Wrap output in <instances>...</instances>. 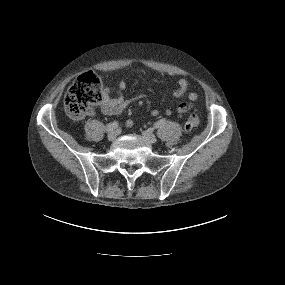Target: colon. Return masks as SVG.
<instances>
[{
	"label": "colon",
	"mask_w": 285,
	"mask_h": 285,
	"mask_svg": "<svg viewBox=\"0 0 285 285\" xmlns=\"http://www.w3.org/2000/svg\"><path fill=\"white\" fill-rule=\"evenodd\" d=\"M101 99V79L97 73L88 71L80 75L69 88L64 100L65 111L72 119L81 120L90 113ZM198 124V115L193 112L187 118L185 129L192 131Z\"/></svg>",
	"instance_id": "obj_1"
}]
</instances>
